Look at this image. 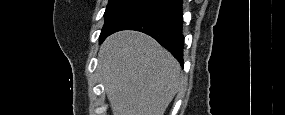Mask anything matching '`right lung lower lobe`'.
Segmentation results:
<instances>
[{
    "mask_svg": "<svg viewBox=\"0 0 285 115\" xmlns=\"http://www.w3.org/2000/svg\"><path fill=\"white\" fill-rule=\"evenodd\" d=\"M182 24V0H154L125 18L102 41L120 30L140 31L156 39L183 65Z\"/></svg>",
    "mask_w": 285,
    "mask_h": 115,
    "instance_id": "obj_1",
    "label": "right lung lower lobe"
}]
</instances>
